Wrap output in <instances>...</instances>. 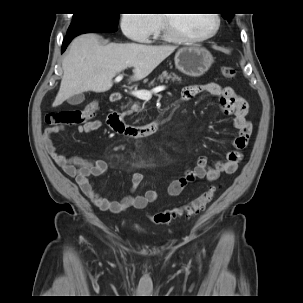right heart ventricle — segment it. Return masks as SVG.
<instances>
[{
	"instance_id": "right-heart-ventricle-1",
	"label": "right heart ventricle",
	"mask_w": 303,
	"mask_h": 303,
	"mask_svg": "<svg viewBox=\"0 0 303 303\" xmlns=\"http://www.w3.org/2000/svg\"><path fill=\"white\" fill-rule=\"evenodd\" d=\"M160 21V28H159V30H158V32H160L162 29H163V23H162V21L161 20H159ZM164 33V32H163ZM155 35V34H154ZM164 36H165V34H164ZM166 37V36H165ZM168 38V37H167Z\"/></svg>"
}]
</instances>
